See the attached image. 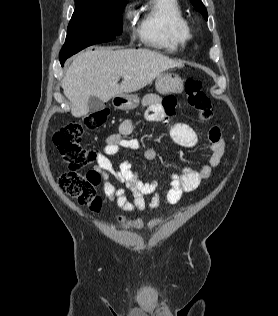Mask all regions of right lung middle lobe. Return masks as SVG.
<instances>
[{
    "label": "right lung middle lobe",
    "instance_id": "1",
    "mask_svg": "<svg viewBox=\"0 0 278 316\" xmlns=\"http://www.w3.org/2000/svg\"><path fill=\"white\" fill-rule=\"evenodd\" d=\"M126 0H75V11L59 57L66 60L80 50L111 41L122 34V12Z\"/></svg>",
    "mask_w": 278,
    "mask_h": 316
}]
</instances>
